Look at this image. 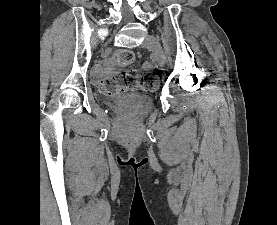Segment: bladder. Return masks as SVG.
I'll return each mask as SVG.
<instances>
[{
	"label": "bladder",
	"mask_w": 277,
	"mask_h": 225,
	"mask_svg": "<svg viewBox=\"0 0 277 225\" xmlns=\"http://www.w3.org/2000/svg\"><path fill=\"white\" fill-rule=\"evenodd\" d=\"M152 104V99L148 95L133 92L113 95L108 106L115 112H133L143 115L151 109Z\"/></svg>",
	"instance_id": "obj_1"
}]
</instances>
